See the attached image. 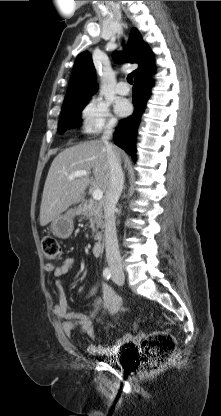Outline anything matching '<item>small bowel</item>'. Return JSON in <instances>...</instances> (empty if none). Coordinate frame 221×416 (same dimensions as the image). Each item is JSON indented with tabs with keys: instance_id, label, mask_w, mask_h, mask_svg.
<instances>
[{
	"instance_id": "obj_1",
	"label": "small bowel",
	"mask_w": 221,
	"mask_h": 416,
	"mask_svg": "<svg viewBox=\"0 0 221 416\" xmlns=\"http://www.w3.org/2000/svg\"><path fill=\"white\" fill-rule=\"evenodd\" d=\"M76 259L74 257L65 258L60 264L47 263L44 265L46 273L53 274L59 278L67 274L76 266ZM58 292V303L55 305L53 313L62 322V328L68 337L73 335L74 329L80 327L85 333L91 343L87 346V351L93 355H113L123 346L130 344L133 337L126 334L116 340L111 346H103L98 342V335L94 327V319L100 310L109 314L117 313L122 306L121 298L112 290V288L104 281H98L92 285L87 291V297L94 296L98 290L102 292L100 297L95 300V308L89 314H83L69 309L64 287L61 281L56 282Z\"/></svg>"
}]
</instances>
